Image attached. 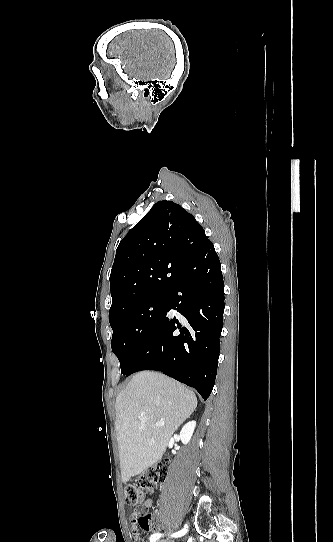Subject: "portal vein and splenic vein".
Instances as JSON below:
<instances>
[{
	"instance_id": "18ae733b",
	"label": "portal vein and splenic vein",
	"mask_w": 333,
	"mask_h": 542,
	"mask_svg": "<svg viewBox=\"0 0 333 542\" xmlns=\"http://www.w3.org/2000/svg\"><path fill=\"white\" fill-rule=\"evenodd\" d=\"M140 422H147L146 418H139ZM156 426H165V422H156Z\"/></svg>"
}]
</instances>
